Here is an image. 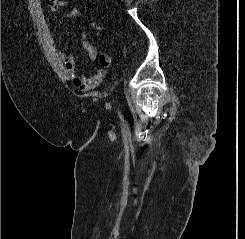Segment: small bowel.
Segmentation results:
<instances>
[{
  "label": "small bowel",
  "instance_id": "obj_1",
  "mask_svg": "<svg viewBox=\"0 0 245 239\" xmlns=\"http://www.w3.org/2000/svg\"><path fill=\"white\" fill-rule=\"evenodd\" d=\"M54 1L55 2L52 4H49L50 11L52 13L58 12L61 7L67 5L66 0ZM80 16L81 11L76 7L70 9L67 13V17L70 19H78ZM81 45L87 53L89 59L92 62H98L100 65L91 76L85 77L76 74V60L74 56L63 53L60 55V59L66 74L71 78L73 84L81 91H89L97 87L104 80L107 75V67L110 65L111 59L106 53L98 54L96 48L86 39L82 41Z\"/></svg>",
  "mask_w": 245,
  "mask_h": 239
}]
</instances>
